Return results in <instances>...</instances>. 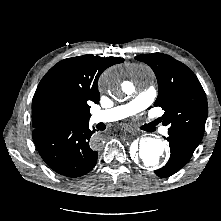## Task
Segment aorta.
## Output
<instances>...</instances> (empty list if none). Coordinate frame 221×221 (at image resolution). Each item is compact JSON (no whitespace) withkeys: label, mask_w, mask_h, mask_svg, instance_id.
Masks as SVG:
<instances>
[{"label":"aorta","mask_w":221,"mask_h":221,"mask_svg":"<svg viewBox=\"0 0 221 221\" xmlns=\"http://www.w3.org/2000/svg\"><path fill=\"white\" fill-rule=\"evenodd\" d=\"M117 73H108L101 79L104 90L114 92L118 87ZM127 95L134 93V86L130 83L123 88ZM166 154L165 143L153 137L143 138L139 141L137 150L133 152V157L137 163L145 167H154L164 161Z\"/></svg>","instance_id":"aorta-1"}]
</instances>
